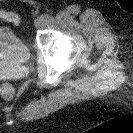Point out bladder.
I'll use <instances>...</instances> for the list:
<instances>
[{
  "label": "bladder",
  "instance_id": "bladder-1",
  "mask_svg": "<svg viewBox=\"0 0 133 133\" xmlns=\"http://www.w3.org/2000/svg\"><path fill=\"white\" fill-rule=\"evenodd\" d=\"M31 57L28 45L7 26L0 25V63L25 64Z\"/></svg>",
  "mask_w": 133,
  "mask_h": 133
}]
</instances>
